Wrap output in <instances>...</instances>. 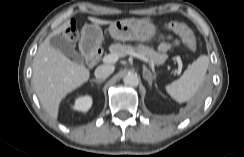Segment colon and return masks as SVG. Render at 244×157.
I'll return each instance as SVG.
<instances>
[{"label":"colon","instance_id":"colon-1","mask_svg":"<svg viewBox=\"0 0 244 157\" xmlns=\"http://www.w3.org/2000/svg\"><path fill=\"white\" fill-rule=\"evenodd\" d=\"M166 27L172 30L173 32H175L176 34H178L181 37L182 41L187 45V47L190 50L195 51L197 49L196 37L192 32V30L187 25L181 22L172 21L167 23ZM76 37H77V33L75 28L74 27L69 28L66 33L67 40L73 43Z\"/></svg>","mask_w":244,"mask_h":157}]
</instances>
